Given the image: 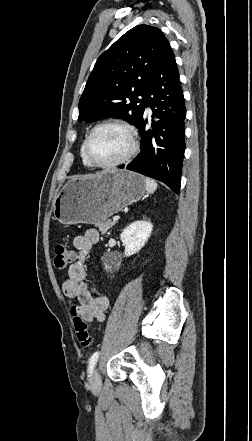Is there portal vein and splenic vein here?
<instances>
[{
  "instance_id": "18ae733b",
  "label": "portal vein and splenic vein",
  "mask_w": 252,
  "mask_h": 441,
  "mask_svg": "<svg viewBox=\"0 0 252 441\" xmlns=\"http://www.w3.org/2000/svg\"><path fill=\"white\" fill-rule=\"evenodd\" d=\"M119 218H120L119 216H114V217H113V221H118Z\"/></svg>"
}]
</instances>
